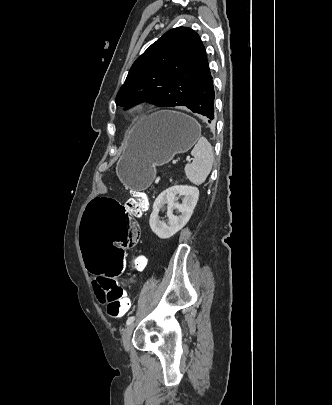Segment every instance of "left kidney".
<instances>
[{
  "label": "left kidney",
  "instance_id": "5707ae66",
  "mask_svg": "<svg viewBox=\"0 0 332 405\" xmlns=\"http://www.w3.org/2000/svg\"><path fill=\"white\" fill-rule=\"evenodd\" d=\"M184 196L182 204L176 202V195ZM199 190L192 186H172L164 190L156 198L153 204V211L150 215V228L160 238L167 239L181 230L190 220L193 210L197 204ZM167 204L168 222L159 219V212L163 205ZM177 209L179 216L173 211Z\"/></svg>",
  "mask_w": 332,
  "mask_h": 405
}]
</instances>
